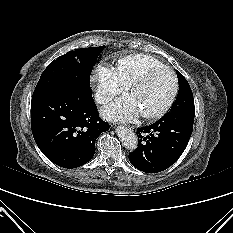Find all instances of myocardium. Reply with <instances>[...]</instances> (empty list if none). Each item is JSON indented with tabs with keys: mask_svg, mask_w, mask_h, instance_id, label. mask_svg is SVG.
Returning <instances> with one entry per match:
<instances>
[{
	"mask_svg": "<svg viewBox=\"0 0 233 233\" xmlns=\"http://www.w3.org/2000/svg\"><path fill=\"white\" fill-rule=\"evenodd\" d=\"M159 70H165L171 74L172 80H173L172 90L166 102L158 110L151 112V113H142V116L148 120L156 119V118L163 116L173 105L175 98L177 96V93H178V86H179L178 78H177L175 71L166 65L152 66V67L145 69L143 72H141L128 85V90L131 92V90L134 87L143 83L152 73L159 71Z\"/></svg>",
	"mask_w": 233,
	"mask_h": 233,
	"instance_id": "f54148a6",
	"label": "myocardium"
}]
</instances>
